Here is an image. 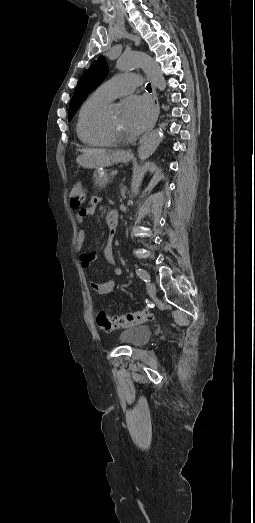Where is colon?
<instances>
[{
  "mask_svg": "<svg viewBox=\"0 0 255 523\" xmlns=\"http://www.w3.org/2000/svg\"><path fill=\"white\" fill-rule=\"evenodd\" d=\"M70 205L77 209L82 206L85 201V189L81 180H76L72 183L69 192ZM152 319V314L149 310H140L121 314L118 316L110 315L105 311H99L96 315V322L98 326L105 331H112L118 327L137 325L147 322Z\"/></svg>",
  "mask_w": 255,
  "mask_h": 523,
  "instance_id": "obj_1",
  "label": "colon"
}]
</instances>
